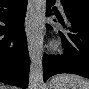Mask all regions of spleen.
<instances>
[{
	"label": "spleen",
	"mask_w": 89,
	"mask_h": 89,
	"mask_svg": "<svg viewBox=\"0 0 89 89\" xmlns=\"http://www.w3.org/2000/svg\"><path fill=\"white\" fill-rule=\"evenodd\" d=\"M51 83L59 85L61 89H89L87 79L73 74L57 75L51 79Z\"/></svg>",
	"instance_id": "1"
}]
</instances>
